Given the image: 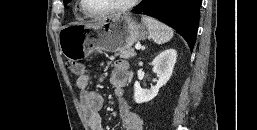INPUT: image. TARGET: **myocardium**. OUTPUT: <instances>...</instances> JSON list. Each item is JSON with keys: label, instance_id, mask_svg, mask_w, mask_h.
Returning a JSON list of instances; mask_svg holds the SVG:
<instances>
[{"label": "myocardium", "instance_id": "f54148a6", "mask_svg": "<svg viewBox=\"0 0 257 130\" xmlns=\"http://www.w3.org/2000/svg\"><path fill=\"white\" fill-rule=\"evenodd\" d=\"M138 2H139V0H127L125 3H123L121 5L115 6L113 8L107 9L102 12H93V11L89 10L88 7L86 6L85 0H80V5H81L83 11L87 15H89L91 17H104L107 15L127 11V10L133 8Z\"/></svg>", "mask_w": 257, "mask_h": 130}]
</instances>
